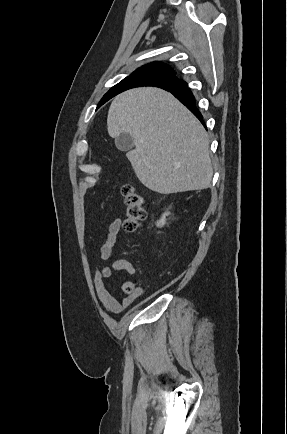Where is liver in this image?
Here are the masks:
<instances>
[{
  "mask_svg": "<svg viewBox=\"0 0 287 434\" xmlns=\"http://www.w3.org/2000/svg\"><path fill=\"white\" fill-rule=\"evenodd\" d=\"M107 129L112 138L123 132L133 137L135 149L127 157L148 189L171 194L210 187L208 134L171 93L143 87L116 96Z\"/></svg>",
  "mask_w": 287,
  "mask_h": 434,
  "instance_id": "6515ba94",
  "label": "liver"
}]
</instances>
